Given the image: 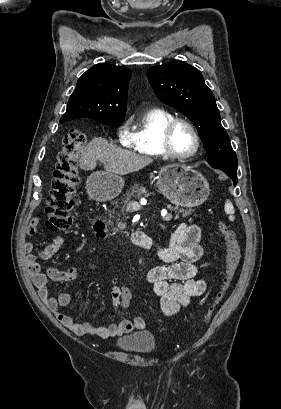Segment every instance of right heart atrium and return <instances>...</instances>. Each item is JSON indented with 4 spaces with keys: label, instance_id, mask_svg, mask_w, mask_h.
Returning a JSON list of instances; mask_svg holds the SVG:
<instances>
[{
    "label": "right heart atrium",
    "instance_id": "d8ad5b80",
    "mask_svg": "<svg viewBox=\"0 0 281 409\" xmlns=\"http://www.w3.org/2000/svg\"><path fill=\"white\" fill-rule=\"evenodd\" d=\"M117 138L120 143L127 145L130 139V132L128 130L127 123H123L117 128Z\"/></svg>",
    "mask_w": 281,
    "mask_h": 409
}]
</instances>
